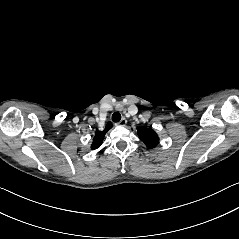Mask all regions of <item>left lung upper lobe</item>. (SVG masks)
Instances as JSON below:
<instances>
[{
    "label": "left lung upper lobe",
    "mask_w": 239,
    "mask_h": 239,
    "mask_svg": "<svg viewBox=\"0 0 239 239\" xmlns=\"http://www.w3.org/2000/svg\"><path fill=\"white\" fill-rule=\"evenodd\" d=\"M137 133L149 148H154L159 143V137L151 127H139Z\"/></svg>",
    "instance_id": "obj_1"
}]
</instances>
